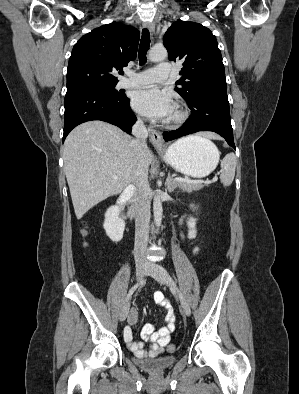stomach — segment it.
<instances>
[{
    "label": "stomach",
    "mask_w": 299,
    "mask_h": 394,
    "mask_svg": "<svg viewBox=\"0 0 299 394\" xmlns=\"http://www.w3.org/2000/svg\"><path fill=\"white\" fill-rule=\"evenodd\" d=\"M159 153L175 170L194 178L209 175L220 157L217 147L199 136L180 139Z\"/></svg>",
    "instance_id": "obj_1"
}]
</instances>
